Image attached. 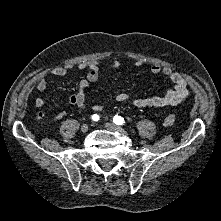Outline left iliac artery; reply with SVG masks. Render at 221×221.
I'll return each instance as SVG.
<instances>
[{
  "mask_svg": "<svg viewBox=\"0 0 221 221\" xmlns=\"http://www.w3.org/2000/svg\"><path fill=\"white\" fill-rule=\"evenodd\" d=\"M113 122L116 123L117 125H122L123 123H125L124 118L118 115L113 117Z\"/></svg>",
  "mask_w": 221,
  "mask_h": 221,
  "instance_id": "obj_1",
  "label": "left iliac artery"
}]
</instances>
